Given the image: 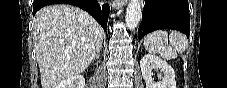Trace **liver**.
Returning <instances> with one entry per match:
<instances>
[{"label":"liver","instance_id":"1","mask_svg":"<svg viewBox=\"0 0 227 88\" xmlns=\"http://www.w3.org/2000/svg\"><path fill=\"white\" fill-rule=\"evenodd\" d=\"M42 88L80 74L102 47L103 30L78 7L58 4L40 9L33 20Z\"/></svg>","mask_w":227,"mask_h":88}]
</instances>
